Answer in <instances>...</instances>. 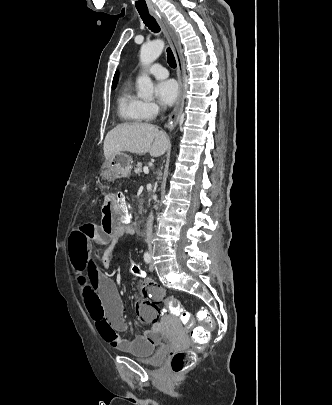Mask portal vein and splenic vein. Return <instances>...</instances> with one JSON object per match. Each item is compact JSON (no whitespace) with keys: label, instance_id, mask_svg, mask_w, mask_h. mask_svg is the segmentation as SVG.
<instances>
[{"label":"portal vein and splenic vein","instance_id":"obj_1","mask_svg":"<svg viewBox=\"0 0 332 405\" xmlns=\"http://www.w3.org/2000/svg\"><path fill=\"white\" fill-rule=\"evenodd\" d=\"M143 171H144L145 174L149 173V169L147 167H144Z\"/></svg>","mask_w":332,"mask_h":405}]
</instances>
